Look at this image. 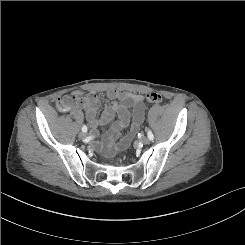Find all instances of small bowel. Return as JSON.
<instances>
[{"label": "small bowel", "instance_id": "c3829d8e", "mask_svg": "<svg viewBox=\"0 0 245 245\" xmlns=\"http://www.w3.org/2000/svg\"><path fill=\"white\" fill-rule=\"evenodd\" d=\"M106 95L113 102L104 109L100 117L97 116L99 100L94 93H89L84 96L83 104L76 108L81 107L85 109L86 118L92 126V136L98 134L99 127L109 123L115 117L118 118L113 123L105 140L100 144L101 148L113 151L116 148L127 146L132 137L138 132L144 119L145 105L142 96L136 93L109 89ZM130 122L131 128L128 136L123 141L116 143L120 131L126 128Z\"/></svg>", "mask_w": 245, "mask_h": 245}]
</instances>
